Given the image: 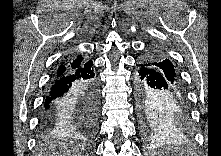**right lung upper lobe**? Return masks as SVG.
<instances>
[{
    "mask_svg": "<svg viewBox=\"0 0 221 156\" xmlns=\"http://www.w3.org/2000/svg\"><path fill=\"white\" fill-rule=\"evenodd\" d=\"M86 63V60L83 59L81 55L77 56L76 58H72L70 60H66L61 64L57 70V74L66 72L68 70L76 69Z\"/></svg>",
    "mask_w": 221,
    "mask_h": 156,
    "instance_id": "cb5924a9",
    "label": "right lung upper lobe"
}]
</instances>
